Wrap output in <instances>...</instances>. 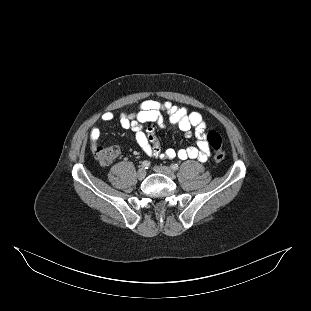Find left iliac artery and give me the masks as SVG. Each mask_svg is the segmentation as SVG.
Masks as SVG:
<instances>
[{"label": "left iliac artery", "instance_id": "44dca946", "mask_svg": "<svg viewBox=\"0 0 311 311\" xmlns=\"http://www.w3.org/2000/svg\"><path fill=\"white\" fill-rule=\"evenodd\" d=\"M178 168H179V167H178L177 164H172V165H171V169L174 170V171L178 170Z\"/></svg>", "mask_w": 311, "mask_h": 311}]
</instances>
